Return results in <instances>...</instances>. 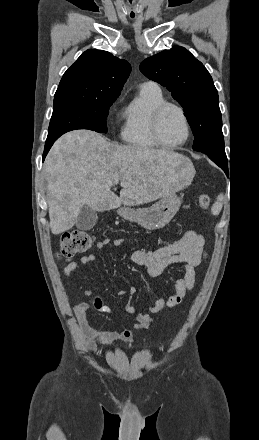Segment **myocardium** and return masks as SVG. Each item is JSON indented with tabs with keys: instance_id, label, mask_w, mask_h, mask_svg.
Masks as SVG:
<instances>
[{
	"instance_id": "f54148a6",
	"label": "myocardium",
	"mask_w": 259,
	"mask_h": 440,
	"mask_svg": "<svg viewBox=\"0 0 259 440\" xmlns=\"http://www.w3.org/2000/svg\"><path fill=\"white\" fill-rule=\"evenodd\" d=\"M169 108H174L180 113V115L184 121L185 128H186L185 138L181 142H178L176 144H167L161 139V136H160L161 119H162L164 112ZM151 133H152L154 141L157 143V145L159 147H162L165 149H176V148H179V147L185 145L191 136V125H190V122H189V119H188V116H187L185 110L180 105L173 103V102L165 101L162 104H160L155 109L153 116H152Z\"/></svg>"
}]
</instances>
